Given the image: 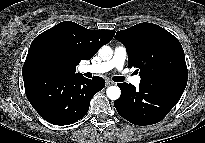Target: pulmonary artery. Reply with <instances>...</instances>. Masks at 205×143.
I'll list each match as a JSON object with an SVG mask.
<instances>
[{
	"label": "pulmonary artery",
	"mask_w": 205,
	"mask_h": 143,
	"mask_svg": "<svg viewBox=\"0 0 205 143\" xmlns=\"http://www.w3.org/2000/svg\"><path fill=\"white\" fill-rule=\"evenodd\" d=\"M126 57H127L126 48L124 46H116L114 49L113 57L110 60L91 64V65H83L80 70L82 72L102 74L115 68L122 73V76L126 80H128L133 85L138 86L141 82L140 76L125 75V73L122 71Z\"/></svg>",
	"instance_id": "obj_1"
}]
</instances>
